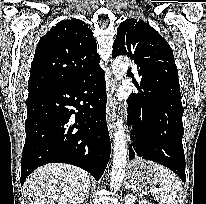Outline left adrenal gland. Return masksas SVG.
<instances>
[{
  "instance_id": "1",
  "label": "left adrenal gland",
  "mask_w": 206,
  "mask_h": 204,
  "mask_svg": "<svg viewBox=\"0 0 206 204\" xmlns=\"http://www.w3.org/2000/svg\"><path fill=\"white\" fill-rule=\"evenodd\" d=\"M126 188H130L129 184L126 185Z\"/></svg>"
}]
</instances>
